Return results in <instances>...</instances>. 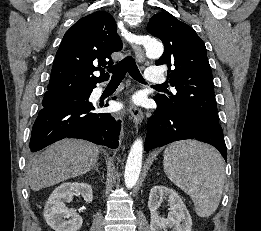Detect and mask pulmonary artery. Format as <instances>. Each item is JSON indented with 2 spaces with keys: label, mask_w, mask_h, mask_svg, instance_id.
<instances>
[{
  "label": "pulmonary artery",
  "mask_w": 261,
  "mask_h": 231,
  "mask_svg": "<svg viewBox=\"0 0 261 231\" xmlns=\"http://www.w3.org/2000/svg\"><path fill=\"white\" fill-rule=\"evenodd\" d=\"M145 74L148 82L158 83V84L164 82V76L159 67H148L146 69Z\"/></svg>",
  "instance_id": "obj_1"
}]
</instances>
